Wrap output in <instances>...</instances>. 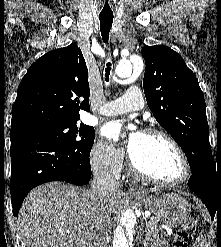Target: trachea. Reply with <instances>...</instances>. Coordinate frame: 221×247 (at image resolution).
Wrapping results in <instances>:
<instances>
[{
	"label": "trachea",
	"mask_w": 221,
	"mask_h": 247,
	"mask_svg": "<svg viewBox=\"0 0 221 247\" xmlns=\"http://www.w3.org/2000/svg\"><path fill=\"white\" fill-rule=\"evenodd\" d=\"M100 20V29H101V35L103 38V41L105 43H108L109 39V32L113 23V14H100L99 15ZM111 63H107V68L105 69V80L109 81V75L111 70Z\"/></svg>",
	"instance_id": "trachea-1"
}]
</instances>
